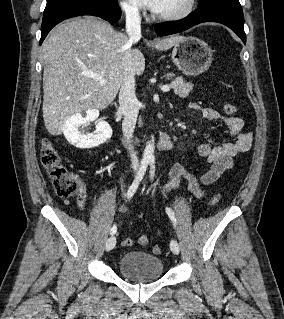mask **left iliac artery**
Listing matches in <instances>:
<instances>
[{"mask_svg":"<svg viewBox=\"0 0 284 319\" xmlns=\"http://www.w3.org/2000/svg\"><path fill=\"white\" fill-rule=\"evenodd\" d=\"M151 162V170H150V177L151 179H153L154 177V172H155V162H154V159H151L150 160ZM166 212L169 216V218L171 219V221L173 222L174 226L176 224V218H175V213L174 211L170 208V207H166Z\"/></svg>","mask_w":284,"mask_h":319,"instance_id":"44dca946","label":"left iliac artery"}]
</instances>
